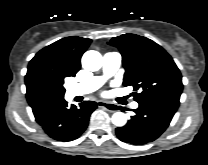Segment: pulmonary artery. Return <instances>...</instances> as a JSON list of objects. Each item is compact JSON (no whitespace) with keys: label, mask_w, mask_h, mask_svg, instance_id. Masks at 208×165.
<instances>
[{"label":"pulmonary artery","mask_w":208,"mask_h":165,"mask_svg":"<svg viewBox=\"0 0 208 165\" xmlns=\"http://www.w3.org/2000/svg\"><path fill=\"white\" fill-rule=\"evenodd\" d=\"M122 57L117 52H108L103 56V76L92 77L82 83L69 87L71 96L85 95L97 90L105 82L106 78L112 76L120 67ZM132 108L138 107L137 102L132 103Z\"/></svg>","instance_id":"1"}]
</instances>
